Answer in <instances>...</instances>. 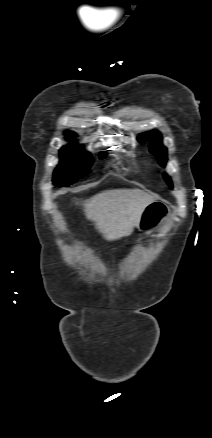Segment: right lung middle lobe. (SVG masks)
Masks as SVG:
<instances>
[{
  "label": "right lung middle lobe",
  "mask_w": 212,
  "mask_h": 438,
  "mask_svg": "<svg viewBox=\"0 0 212 438\" xmlns=\"http://www.w3.org/2000/svg\"><path fill=\"white\" fill-rule=\"evenodd\" d=\"M105 152L100 153L104 158ZM60 164L54 171L55 185L66 187L77 181L88 171L92 164L91 154L83 150L82 145L71 144L60 150Z\"/></svg>",
  "instance_id": "obj_1"
}]
</instances>
